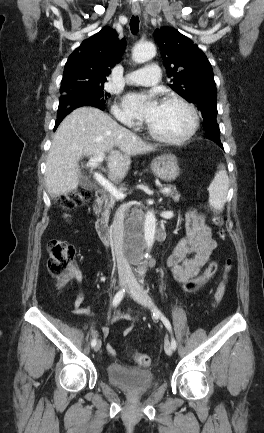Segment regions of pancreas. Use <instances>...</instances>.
<instances>
[{"label": "pancreas", "instance_id": "cf45deb5", "mask_svg": "<svg viewBox=\"0 0 264 433\" xmlns=\"http://www.w3.org/2000/svg\"><path fill=\"white\" fill-rule=\"evenodd\" d=\"M169 188H170V192L166 193L165 195L167 197H171L174 201L178 202L181 197L180 194L177 192L175 187L169 185ZM115 202L116 199L111 194H109L105 198L104 204L102 206V211H103L102 215H104L106 218H109L110 210L114 207Z\"/></svg>", "mask_w": 264, "mask_h": 433}]
</instances>
